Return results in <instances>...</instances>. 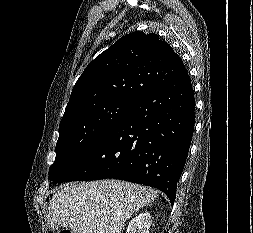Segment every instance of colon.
Listing matches in <instances>:
<instances>
[{
  "label": "colon",
  "mask_w": 253,
  "mask_h": 233,
  "mask_svg": "<svg viewBox=\"0 0 253 233\" xmlns=\"http://www.w3.org/2000/svg\"><path fill=\"white\" fill-rule=\"evenodd\" d=\"M60 233H70V231L69 230H67V229H63V230H61V232Z\"/></svg>",
  "instance_id": "obj_1"
}]
</instances>
